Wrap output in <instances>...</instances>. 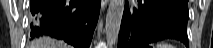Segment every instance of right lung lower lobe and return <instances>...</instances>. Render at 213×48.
<instances>
[{
  "label": "right lung lower lobe",
  "mask_w": 213,
  "mask_h": 48,
  "mask_svg": "<svg viewBox=\"0 0 213 48\" xmlns=\"http://www.w3.org/2000/svg\"><path fill=\"white\" fill-rule=\"evenodd\" d=\"M100 4V0H30V36L49 35L75 48H89Z\"/></svg>",
  "instance_id": "98d812e1"
}]
</instances>
